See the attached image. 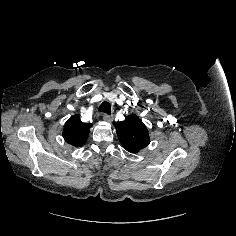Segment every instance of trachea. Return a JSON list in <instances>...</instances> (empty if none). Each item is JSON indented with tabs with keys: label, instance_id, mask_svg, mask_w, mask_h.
Returning <instances> with one entry per match:
<instances>
[{
	"label": "trachea",
	"instance_id": "3493384b",
	"mask_svg": "<svg viewBox=\"0 0 236 236\" xmlns=\"http://www.w3.org/2000/svg\"><path fill=\"white\" fill-rule=\"evenodd\" d=\"M99 111L106 113V114H110L111 113V105L109 102L104 101L100 107H99Z\"/></svg>",
	"mask_w": 236,
	"mask_h": 236
}]
</instances>
